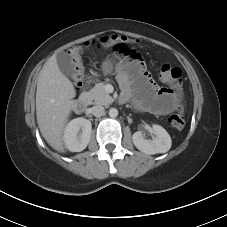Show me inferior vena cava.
I'll return each mask as SVG.
<instances>
[{
  "label": "inferior vena cava",
  "mask_w": 227,
  "mask_h": 227,
  "mask_svg": "<svg viewBox=\"0 0 227 227\" xmlns=\"http://www.w3.org/2000/svg\"><path fill=\"white\" fill-rule=\"evenodd\" d=\"M92 114L96 117H101L105 114V108L101 105H96L91 108Z\"/></svg>",
  "instance_id": "obj_1"
}]
</instances>
